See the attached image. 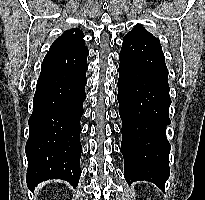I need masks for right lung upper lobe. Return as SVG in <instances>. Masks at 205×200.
<instances>
[{"mask_svg":"<svg viewBox=\"0 0 205 200\" xmlns=\"http://www.w3.org/2000/svg\"><path fill=\"white\" fill-rule=\"evenodd\" d=\"M84 34L78 28L65 31L51 45L49 52L77 51L85 48Z\"/></svg>","mask_w":205,"mask_h":200,"instance_id":"obj_1","label":"right lung upper lobe"}]
</instances>
